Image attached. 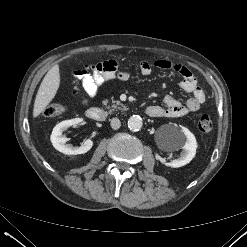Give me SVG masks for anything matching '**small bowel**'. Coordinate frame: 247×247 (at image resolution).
Masks as SVG:
<instances>
[{
	"label": "small bowel",
	"mask_w": 247,
	"mask_h": 247,
	"mask_svg": "<svg viewBox=\"0 0 247 247\" xmlns=\"http://www.w3.org/2000/svg\"><path fill=\"white\" fill-rule=\"evenodd\" d=\"M154 66L162 70H172L179 74L182 77L180 82L181 89L190 93L191 97L183 104L172 96H165L162 106H150L151 114L149 116L176 118L200 109L206 99V94L199 86L196 77L186 66L166 59L157 60ZM139 70L142 75L148 76L152 73V64L148 61H142L139 65ZM129 76V73L121 70L119 64L114 60L86 65L83 69L75 72V77L81 81L84 90L82 103L88 104L91 99H94L104 84L116 78L125 80Z\"/></svg>",
	"instance_id": "obj_1"
}]
</instances>
